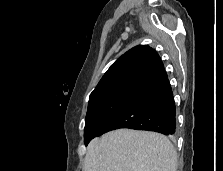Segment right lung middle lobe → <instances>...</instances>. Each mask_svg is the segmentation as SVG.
<instances>
[{
    "label": "right lung middle lobe",
    "instance_id": "1",
    "mask_svg": "<svg viewBox=\"0 0 223 171\" xmlns=\"http://www.w3.org/2000/svg\"><path fill=\"white\" fill-rule=\"evenodd\" d=\"M137 95L116 94L106 96L88 104L84 128V142L99 136L103 127L118 115Z\"/></svg>",
    "mask_w": 223,
    "mask_h": 171
}]
</instances>
